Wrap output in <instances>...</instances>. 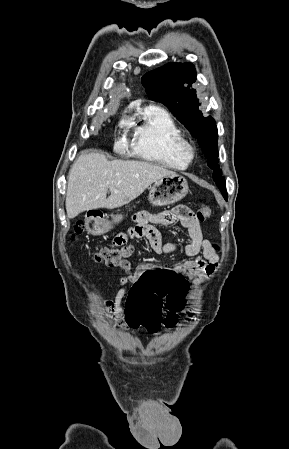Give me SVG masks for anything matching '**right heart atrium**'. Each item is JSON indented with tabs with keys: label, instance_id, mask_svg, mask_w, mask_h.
I'll return each mask as SVG.
<instances>
[{
	"label": "right heart atrium",
	"instance_id": "1",
	"mask_svg": "<svg viewBox=\"0 0 289 449\" xmlns=\"http://www.w3.org/2000/svg\"><path fill=\"white\" fill-rule=\"evenodd\" d=\"M118 126H119V128L124 132L123 135H122V137H121L120 140H119V143L122 144V145H123V144H126V143L128 142V138H129V133H128V130H129V121H128L126 118H122V119L119 121Z\"/></svg>",
	"mask_w": 289,
	"mask_h": 449
}]
</instances>
